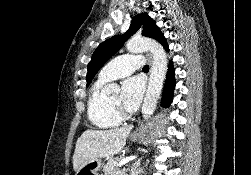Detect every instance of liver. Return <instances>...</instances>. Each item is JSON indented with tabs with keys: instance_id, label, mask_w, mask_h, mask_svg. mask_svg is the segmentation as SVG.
<instances>
[{
	"instance_id": "obj_1",
	"label": "liver",
	"mask_w": 251,
	"mask_h": 175,
	"mask_svg": "<svg viewBox=\"0 0 251 175\" xmlns=\"http://www.w3.org/2000/svg\"><path fill=\"white\" fill-rule=\"evenodd\" d=\"M132 125L115 129H86L78 137L73 155L74 171L95 157H110L123 149Z\"/></svg>"
}]
</instances>
